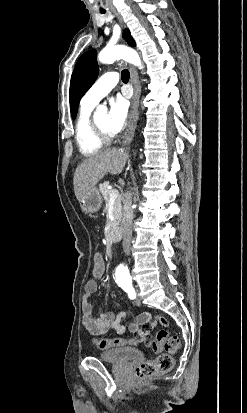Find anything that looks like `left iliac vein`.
<instances>
[{
    "label": "left iliac vein",
    "instance_id": "obj_1",
    "mask_svg": "<svg viewBox=\"0 0 247 413\" xmlns=\"http://www.w3.org/2000/svg\"><path fill=\"white\" fill-rule=\"evenodd\" d=\"M134 304H135L136 306H140V305H141V300H140L139 297H137V298L135 299Z\"/></svg>",
    "mask_w": 247,
    "mask_h": 413
}]
</instances>
